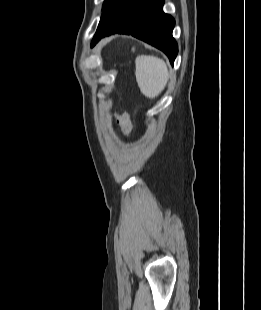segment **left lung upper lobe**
<instances>
[{
    "mask_svg": "<svg viewBox=\"0 0 261 310\" xmlns=\"http://www.w3.org/2000/svg\"><path fill=\"white\" fill-rule=\"evenodd\" d=\"M122 0H105L103 5V14L101 16L100 25H105L111 21L115 15Z\"/></svg>",
    "mask_w": 261,
    "mask_h": 310,
    "instance_id": "1",
    "label": "left lung upper lobe"
}]
</instances>
